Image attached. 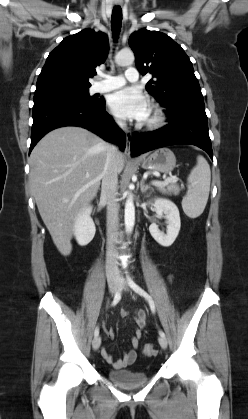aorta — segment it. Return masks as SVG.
<instances>
[{
  "label": "aorta",
  "instance_id": "1",
  "mask_svg": "<svg viewBox=\"0 0 248 419\" xmlns=\"http://www.w3.org/2000/svg\"><path fill=\"white\" fill-rule=\"evenodd\" d=\"M134 54L132 51H120L115 56V62L119 66H128L134 62ZM125 228L127 232H131L135 224V206L131 196L126 200L125 203Z\"/></svg>",
  "mask_w": 248,
  "mask_h": 419
}]
</instances>
